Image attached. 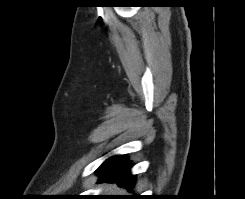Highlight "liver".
<instances>
[{
	"mask_svg": "<svg viewBox=\"0 0 245 199\" xmlns=\"http://www.w3.org/2000/svg\"><path fill=\"white\" fill-rule=\"evenodd\" d=\"M108 190L110 192H116V191L119 190V188L117 186H115V185H111V186L108 187Z\"/></svg>",
	"mask_w": 245,
	"mask_h": 199,
	"instance_id": "1",
	"label": "liver"
}]
</instances>
